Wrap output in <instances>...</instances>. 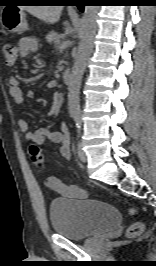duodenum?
Wrapping results in <instances>:
<instances>
[{
    "label": "duodenum",
    "mask_w": 156,
    "mask_h": 266,
    "mask_svg": "<svg viewBox=\"0 0 156 266\" xmlns=\"http://www.w3.org/2000/svg\"><path fill=\"white\" fill-rule=\"evenodd\" d=\"M63 82L68 85L71 82V72L69 70H65L62 74Z\"/></svg>",
    "instance_id": "1"
}]
</instances>
